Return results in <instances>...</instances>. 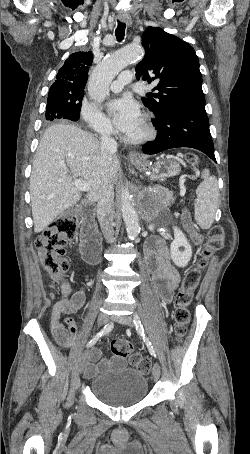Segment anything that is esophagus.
<instances>
[{
    "mask_svg": "<svg viewBox=\"0 0 250 454\" xmlns=\"http://www.w3.org/2000/svg\"><path fill=\"white\" fill-rule=\"evenodd\" d=\"M119 19L122 22H125L127 25H131L132 24V19H131V17L129 15H120ZM129 158L131 160H138V159H141V155H140V153L138 151H132L129 154Z\"/></svg>",
    "mask_w": 250,
    "mask_h": 454,
    "instance_id": "esophagus-1",
    "label": "esophagus"
}]
</instances>
